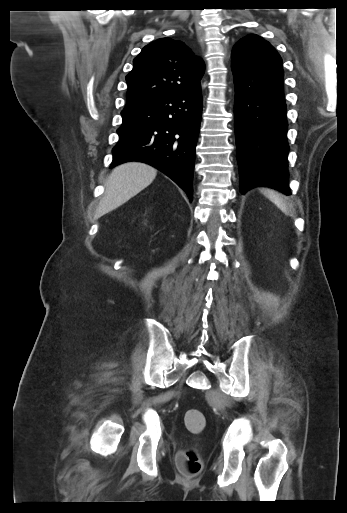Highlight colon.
<instances>
[{
    "label": "colon",
    "instance_id": "1",
    "mask_svg": "<svg viewBox=\"0 0 347 513\" xmlns=\"http://www.w3.org/2000/svg\"><path fill=\"white\" fill-rule=\"evenodd\" d=\"M187 429L195 434L201 433L206 425L203 413L196 409H190L184 417ZM177 466L180 473L186 478L197 476L202 467L199 452L195 448L182 451L177 457Z\"/></svg>",
    "mask_w": 347,
    "mask_h": 513
}]
</instances>
